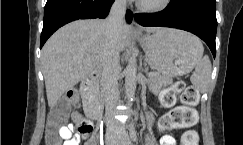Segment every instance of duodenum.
<instances>
[{
    "label": "duodenum",
    "instance_id": "obj_1",
    "mask_svg": "<svg viewBox=\"0 0 243 145\" xmlns=\"http://www.w3.org/2000/svg\"><path fill=\"white\" fill-rule=\"evenodd\" d=\"M100 71L92 70L82 82V96L86 115L94 120L101 116L102 100L98 89Z\"/></svg>",
    "mask_w": 243,
    "mask_h": 145
}]
</instances>
